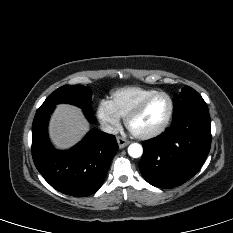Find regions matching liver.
Segmentation results:
<instances>
[{"mask_svg": "<svg viewBox=\"0 0 233 233\" xmlns=\"http://www.w3.org/2000/svg\"><path fill=\"white\" fill-rule=\"evenodd\" d=\"M89 130L82 110L68 104L57 105L49 123V136L57 149H69Z\"/></svg>", "mask_w": 233, "mask_h": 233, "instance_id": "obj_1", "label": "liver"}]
</instances>
